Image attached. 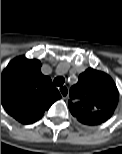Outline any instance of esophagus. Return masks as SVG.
Wrapping results in <instances>:
<instances>
[{
	"label": "esophagus",
	"mask_w": 122,
	"mask_h": 154,
	"mask_svg": "<svg viewBox=\"0 0 122 154\" xmlns=\"http://www.w3.org/2000/svg\"><path fill=\"white\" fill-rule=\"evenodd\" d=\"M58 89H59V92H60L61 96L63 98H67L68 92H69L68 87L67 86H61Z\"/></svg>",
	"instance_id": "obj_1"
}]
</instances>
